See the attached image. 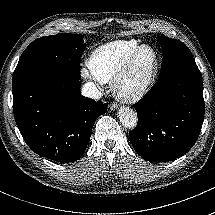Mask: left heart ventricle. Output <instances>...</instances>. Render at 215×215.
Returning <instances> with one entry per match:
<instances>
[{
  "label": "left heart ventricle",
  "instance_id": "left-heart-ventricle-1",
  "mask_svg": "<svg viewBox=\"0 0 215 215\" xmlns=\"http://www.w3.org/2000/svg\"><path fill=\"white\" fill-rule=\"evenodd\" d=\"M152 58V51L148 48L143 49L139 53L132 68V71L125 82L126 88H132L140 81L144 69L151 63Z\"/></svg>",
  "mask_w": 215,
  "mask_h": 215
}]
</instances>
